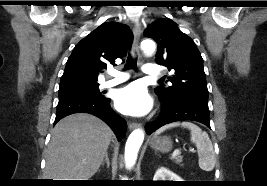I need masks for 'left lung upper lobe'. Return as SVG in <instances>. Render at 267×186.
<instances>
[{"label":"left lung upper lobe","instance_id":"left-lung-upper-lobe-1","mask_svg":"<svg viewBox=\"0 0 267 186\" xmlns=\"http://www.w3.org/2000/svg\"><path fill=\"white\" fill-rule=\"evenodd\" d=\"M158 44L156 62L174 74L172 85L155 89L161 103L176 104L181 101L208 103V89L202 56L194 41L180 31L171 19H159L144 32Z\"/></svg>","mask_w":267,"mask_h":186}]
</instances>
